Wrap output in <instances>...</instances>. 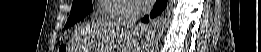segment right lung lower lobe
<instances>
[{"label":"right lung lower lobe","instance_id":"98d812e1","mask_svg":"<svg viewBox=\"0 0 261 52\" xmlns=\"http://www.w3.org/2000/svg\"><path fill=\"white\" fill-rule=\"evenodd\" d=\"M166 4H167V0H157L155 7L150 14V17L153 18V17H156L157 15L161 14V12L165 8ZM142 21L147 22L148 16H145L142 19Z\"/></svg>","mask_w":261,"mask_h":52}]
</instances>
